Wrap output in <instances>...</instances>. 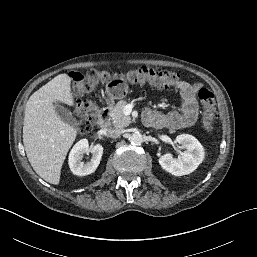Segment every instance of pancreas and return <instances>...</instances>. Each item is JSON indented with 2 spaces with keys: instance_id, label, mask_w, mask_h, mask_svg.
Listing matches in <instances>:
<instances>
[{
  "instance_id": "1",
  "label": "pancreas",
  "mask_w": 257,
  "mask_h": 257,
  "mask_svg": "<svg viewBox=\"0 0 257 257\" xmlns=\"http://www.w3.org/2000/svg\"><path fill=\"white\" fill-rule=\"evenodd\" d=\"M127 105L128 103L125 100H121L110 112L112 123L116 128H124L131 123L130 116L124 114V108Z\"/></svg>"
}]
</instances>
